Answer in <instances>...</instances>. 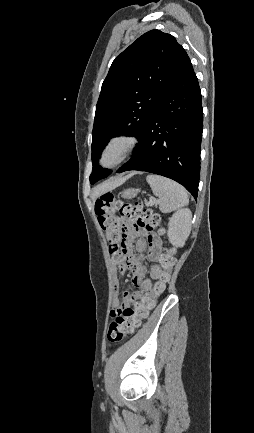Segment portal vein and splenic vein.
Wrapping results in <instances>:
<instances>
[{
    "instance_id": "obj_1",
    "label": "portal vein and splenic vein",
    "mask_w": 254,
    "mask_h": 433,
    "mask_svg": "<svg viewBox=\"0 0 254 433\" xmlns=\"http://www.w3.org/2000/svg\"><path fill=\"white\" fill-rule=\"evenodd\" d=\"M156 203H158V201L157 200H151V201H149L148 203H147V205L148 206H151V205H153V204H156Z\"/></svg>"
}]
</instances>
